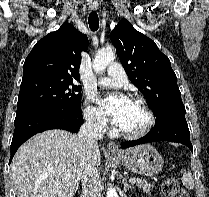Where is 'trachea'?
Instances as JSON below:
<instances>
[{
    "label": "trachea",
    "instance_id": "1",
    "mask_svg": "<svg viewBox=\"0 0 209 197\" xmlns=\"http://www.w3.org/2000/svg\"><path fill=\"white\" fill-rule=\"evenodd\" d=\"M88 23H89L90 29L93 32L98 30V28H99V18H98V15H97V13L95 11H92L89 14Z\"/></svg>",
    "mask_w": 209,
    "mask_h": 197
}]
</instances>
